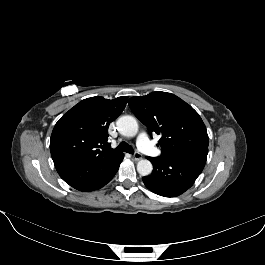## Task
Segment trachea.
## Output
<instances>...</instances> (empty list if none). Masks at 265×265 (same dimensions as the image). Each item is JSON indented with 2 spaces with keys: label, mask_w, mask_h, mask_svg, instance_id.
Returning <instances> with one entry per match:
<instances>
[{
  "label": "trachea",
  "mask_w": 265,
  "mask_h": 265,
  "mask_svg": "<svg viewBox=\"0 0 265 265\" xmlns=\"http://www.w3.org/2000/svg\"><path fill=\"white\" fill-rule=\"evenodd\" d=\"M116 149L119 150V151H122V152L130 153V154H133V153H134L133 148H132L130 145H128L127 143H125V142H121V143L117 146Z\"/></svg>",
  "instance_id": "obj_1"
}]
</instances>
